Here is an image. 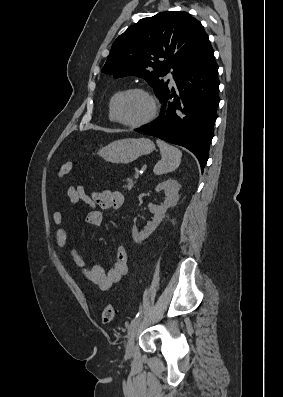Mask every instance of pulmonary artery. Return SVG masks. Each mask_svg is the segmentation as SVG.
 Instances as JSON below:
<instances>
[{
  "mask_svg": "<svg viewBox=\"0 0 283 397\" xmlns=\"http://www.w3.org/2000/svg\"><path fill=\"white\" fill-rule=\"evenodd\" d=\"M168 78L170 79L171 85H172V86H175V80H174V78H173V74H172V73H169V74H168Z\"/></svg>",
  "mask_w": 283,
  "mask_h": 397,
  "instance_id": "e3ab8cb5",
  "label": "pulmonary artery"
}]
</instances>
